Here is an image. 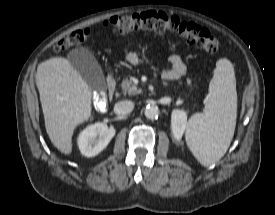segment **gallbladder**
<instances>
[{
	"label": "gallbladder",
	"instance_id": "1",
	"mask_svg": "<svg viewBox=\"0 0 275 215\" xmlns=\"http://www.w3.org/2000/svg\"><path fill=\"white\" fill-rule=\"evenodd\" d=\"M70 65L84 78L92 90H104L105 78L94 55L86 48L71 50L67 55Z\"/></svg>",
	"mask_w": 275,
	"mask_h": 215
}]
</instances>
